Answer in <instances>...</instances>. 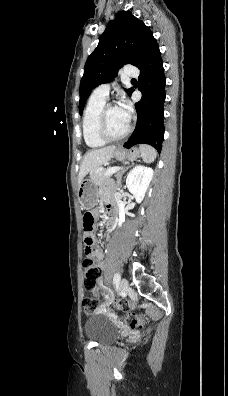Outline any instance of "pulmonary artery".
Returning a JSON list of instances; mask_svg holds the SVG:
<instances>
[{"label": "pulmonary artery", "instance_id": "pulmonary-artery-1", "mask_svg": "<svg viewBox=\"0 0 228 396\" xmlns=\"http://www.w3.org/2000/svg\"><path fill=\"white\" fill-rule=\"evenodd\" d=\"M124 75L127 78H135L139 75V70L135 67H127L124 71ZM109 92H110V84L109 83L101 84L93 90V94L95 96L101 97L104 99L108 98Z\"/></svg>", "mask_w": 228, "mask_h": 396}]
</instances>
